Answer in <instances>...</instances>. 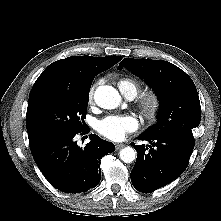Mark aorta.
<instances>
[{
	"label": "aorta",
	"instance_id": "762f6f07",
	"mask_svg": "<svg viewBox=\"0 0 221 221\" xmlns=\"http://www.w3.org/2000/svg\"><path fill=\"white\" fill-rule=\"evenodd\" d=\"M94 100L104 109H115L120 105L121 96L112 86H99L94 93ZM120 159L125 163H132L136 158V151L132 147H125L120 151Z\"/></svg>",
	"mask_w": 221,
	"mask_h": 221
}]
</instances>
